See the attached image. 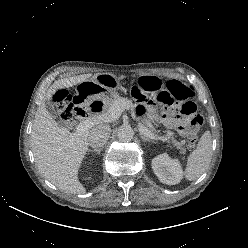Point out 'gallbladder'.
Here are the masks:
<instances>
[{"label": "gallbladder", "mask_w": 248, "mask_h": 248, "mask_svg": "<svg viewBox=\"0 0 248 248\" xmlns=\"http://www.w3.org/2000/svg\"><path fill=\"white\" fill-rule=\"evenodd\" d=\"M45 108L47 109V111L49 112V114L52 116V117H56V115H57V112H56V110H55V106H54V104L51 102V101H47L46 103H45Z\"/></svg>", "instance_id": "bac80fb5"}]
</instances>
